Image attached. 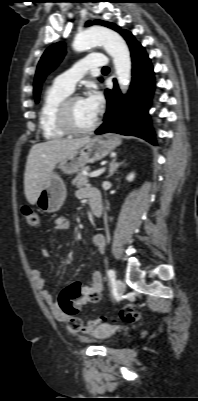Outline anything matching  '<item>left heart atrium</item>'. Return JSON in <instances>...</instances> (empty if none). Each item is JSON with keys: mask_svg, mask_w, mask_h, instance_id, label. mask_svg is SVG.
Returning <instances> with one entry per match:
<instances>
[{"mask_svg": "<svg viewBox=\"0 0 198 401\" xmlns=\"http://www.w3.org/2000/svg\"><path fill=\"white\" fill-rule=\"evenodd\" d=\"M88 107L96 115L100 112L103 104L104 98L101 91L96 86H91L88 90L86 97L84 98Z\"/></svg>", "mask_w": 198, "mask_h": 401, "instance_id": "left-heart-atrium-1", "label": "left heart atrium"}]
</instances>
